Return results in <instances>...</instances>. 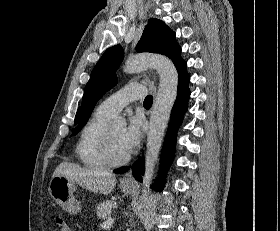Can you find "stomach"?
Instances as JSON below:
<instances>
[{
    "instance_id": "stomach-1",
    "label": "stomach",
    "mask_w": 280,
    "mask_h": 231,
    "mask_svg": "<svg viewBox=\"0 0 280 231\" xmlns=\"http://www.w3.org/2000/svg\"><path fill=\"white\" fill-rule=\"evenodd\" d=\"M77 187L74 181H69L64 175H54L49 183V193L61 205L64 211L68 213H78L81 209L80 201L76 199L74 193ZM121 191L127 195L132 193V185H121Z\"/></svg>"
}]
</instances>
